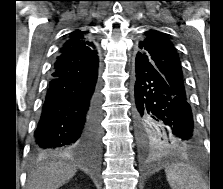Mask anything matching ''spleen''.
<instances>
[{
	"label": "spleen",
	"instance_id": "obj_1",
	"mask_svg": "<svg viewBox=\"0 0 223 189\" xmlns=\"http://www.w3.org/2000/svg\"><path fill=\"white\" fill-rule=\"evenodd\" d=\"M166 177L172 189H203L200 174L191 166L178 163L166 167Z\"/></svg>",
	"mask_w": 223,
	"mask_h": 189
}]
</instances>
